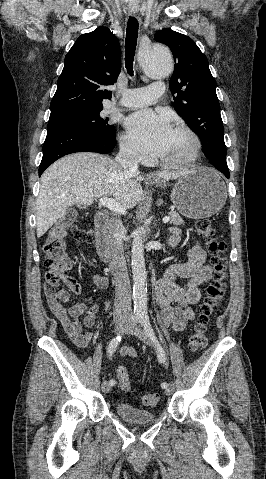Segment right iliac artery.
Returning <instances> with one entry per match:
<instances>
[{
	"label": "right iliac artery",
	"mask_w": 266,
	"mask_h": 479,
	"mask_svg": "<svg viewBox=\"0 0 266 479\" xmlns=\"http://www.w3.org/2000/svg\"><path fill=\"white\" fill-rule=\"evenodd\" d=\"M140 321V315L139 314H135L134 317H133V326L136 325L138 322ZM122 339V336H117V337H114L109 345H108V348H107V352H108V355L109 356H112L114 354V352L116 351L120 341ZM115 380H110L109 381V384L111 386H114L115 385Z\"/></svg>",
	"instance_id": "82829eb1"
}]
</instances>
